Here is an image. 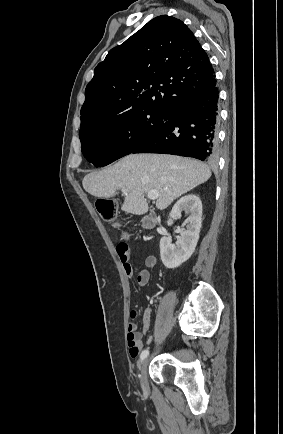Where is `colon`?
<instances>
[{
    "label": "colon",
    "mask_w": 283,
    "mask_h": 434,
    "mask_svg": "<svg viewBox=\"0 0 283 434\" xmlns=\"http://www.w3.org/2000/svg\"><path fill=\"white\" fill-rule=\"evenodd\" d=\"M96 209L102 219L119 226L121 222L117 219L116 204L112 199L101 198L96 201ZM129 234L124 233L123 239H128ZM124 243V242H122ZM126 244V243H124Z\"/></svg>",
    "instance_id": "colon-1"
}]
</instances>
